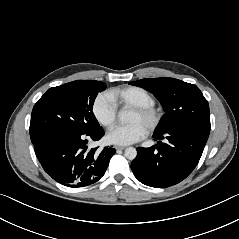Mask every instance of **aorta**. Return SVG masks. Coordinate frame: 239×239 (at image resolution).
Wrapping results in <instances>:
<instances>
[{
	"instance_id": "obj_1",
	"label": "aorta",
	"mask_w": 239,
	"mask_h": 239,
	"mask_svg": "<svg viewBox=\"0 0 239 239\" xmlns=\"http://www.w3.org/2000/svg\"><path fill=\"white\" fill-rule=\"evenodd\" d=\"M119 119L122 123H126L129 120V113L128 112H121L119 114ZM124 155L129 160H134L137 156V151L134 147H128L125 149Z\"/></svg>"
}]
</instances>
